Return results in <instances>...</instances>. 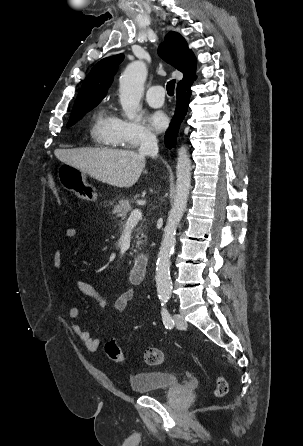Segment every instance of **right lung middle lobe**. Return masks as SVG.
<instances>
[{
	"mask_svg": "<svg viewBox=\"0 0 303 446\" xmlns=\"http://www.w3.org/2000/svg\"><path fill=\"white\" fill-rule=\"evenodd\" d=\"M95 106L97 105H89L83 108H78L76 110H73L70 116V119L67 123V126H72L74 125L79 119H81V117L88 111H90L91 109H93Z\"/></svg>",
	"mask_w": 303,
	"mask_h": 446,
	"instance_id": "right-lung-middle-lobe-1",
	"label": "right lung middle lobe"
}]
</instances>
